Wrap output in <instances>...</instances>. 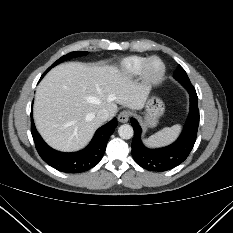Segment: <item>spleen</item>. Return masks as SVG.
<instances>
[{
    "label": "spleen",
    "mask_w": 233,
    "mask_h": 233,
    "mask_svg": "<svg viewBox=\"0 0 233 233\" xmlns=\"http://www.w3.org/2000/svg\"><path fill=\"white\" fill-rule=\"evenodd\" d=\"M181 132V125H173L172 127H165L157 133L151 135L149 138L143 140L148 147H160L173 142Z\"/></svg>",
    "instance_id": "3e777b00"
}]
</instances>
